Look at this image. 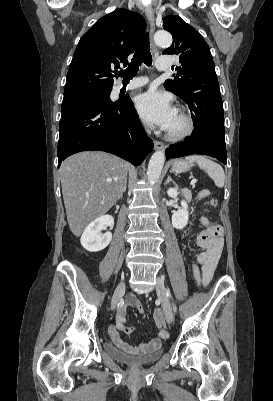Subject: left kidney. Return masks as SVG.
Returning <instances> with one entry per match:
<instances>
[{"label":"left kidney","mask_w":273,"mask_h":401,"mask_svg":"<svg viewBox=\"0 0 273 401\" xmlns=\"http://www.w3.org/2000/svg\"><path fill=\"white\" fill-rule=\"evenodd\" d=\"M178 188H168L167 192L171 198H177ZM181 207L183 209H179V211H175L172 215V225L175 229H184L188 223L189 213L187 211L188 205L186 201H181Z\"/></svg>","instance_id":"1"}]
</instances>
